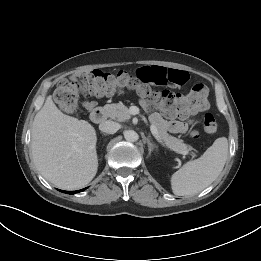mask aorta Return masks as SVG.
<instances>
[{
  "mask_svg": "<svg viewBox=\"0 0 261 261\" xmlns=\"http://www.w3.org/2000/svg\"><path fill=\"white\" fill-rule=\"evenodd\" d=\"M124 138L128 142H135L138 140V134L134 130H126L124 132Z\"/></svg>",
  "mask_w": 261,
  "mask_h": 261,
  "instance_id": "obj_1",
  "label": "aorta"
}]
</instances>
